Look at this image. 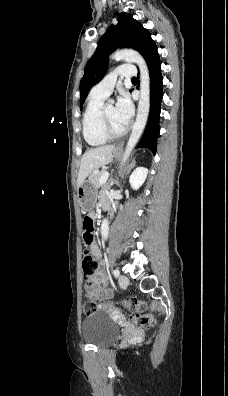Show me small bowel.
Listing matches in <instances>:
<instances>
[{"label":"small bowel","instance_id":"c3829d8e","mask_svg":"<svg viewBox=\"0 0 228 396\" xmlns=\"http://www.w3.org/2000/svg\"><path fill=\"white\" fill-rule=\"evenodd\" d=\"M100 204L101 206L103 204H109L108 198L102 195L100 198ZM90 250L96 258L101 257L102 255L101 250L99 249L98 245L95 242L91 244ZM106 283H107V279L105 272L102 268H100V270L98 271L95 277L94 283L90 286L89 285L86 286V292L93 298L104 301L111 296V292L103 287L104 285H106ZM107 307L108 305L106 303H102L101 308L105 309Z\"/></svg>","mask_w":228,"mask_h":396}]
</instances>
